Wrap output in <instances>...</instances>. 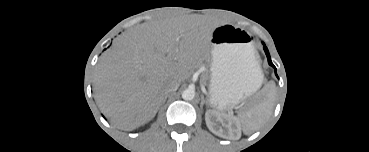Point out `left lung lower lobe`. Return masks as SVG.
Listing matches in <instances>:
<instances>
[{
	"mask_svg": "<svg viewBox=\"0 0 369 152\" xmlns=\"http://www.w3.org/2000/svg\"><path fill=\"white\" fill-rule=\"evenodd\" d=\"M264 51H265V53H266V56H267V58H268V63L272 66V67H274V69L276 70V67L272 64V62H271V59H270V55H269V52H268V49H267V47L264 45ZM277 76V75H276Z\"/></svg>",
	"mask_w": 369,
	"mask_h": 152,
	"instance_id": "1",
	"label": "left lung lower lobe"
}]
</instances>
